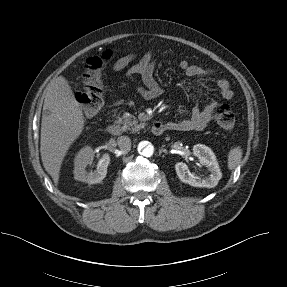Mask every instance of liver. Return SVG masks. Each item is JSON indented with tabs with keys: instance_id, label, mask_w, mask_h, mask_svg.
<instances>
[{
	"instance_id": "6515ba94",
	"label": "liver",
	"mask_w": 287,
	"mask_h": 287,
	"mask_svg": "<svg viewBox=\"0 0 287 287\" xmlns=\"http://www.w3.org/2000/svg\"><path fill=\"white\" fill-rule=\"evenodd\" d=\"M84 116L68 81L52 79L45 94L40 152L43 166L58 184L61 164L72 143L84 129Z\"/></svg>"
}]
</instances>
